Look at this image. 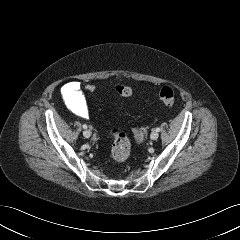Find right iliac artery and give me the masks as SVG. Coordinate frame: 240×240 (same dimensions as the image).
I'll use <instances>...</instances> for the list:
<instances>
[{"mask_svg":"<svg viewBox=\"0 0 240 240\" xmlns=\"http://www.w3.org/2000/svg\"><path fill=\"white\" fill-rule=\"evenodd\" d=\"M83 128H84V129H87V125H86V124H84V125H83Z\"/></svg>","mask_w":240,"mask_h":240,"instance_id":"1","label":"right iliac artery"}]
</instances>
